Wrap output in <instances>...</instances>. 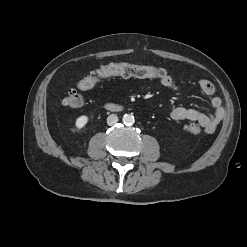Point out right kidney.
I'll list each match as a JSON object with an SVG mask.
<instances>
[{"instance_id":"obj_1","label":"right kidney","mask_w":247,"mask_h":247,"mask_svg":"<svg viewBox=\"0 0 247 247\" xmlns=\"http://www.w3.org/2000/svg\"><path fill=\"white\" fill-rule=\"evenodd\" d=\"M88 120H89L88 117L85 116V115H82V116L78 117L76 119V123H75L76 128L78 130L84 128L86 126V124L88 123Z\"/></svg>"}]
</instances>
